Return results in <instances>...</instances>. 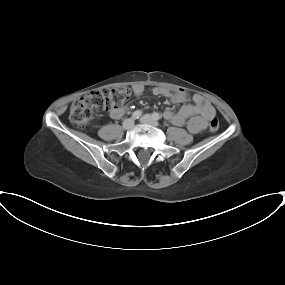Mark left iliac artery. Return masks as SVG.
Returning a JSON list of instances; mask_svg holds the SVG:
<instances>
[{"mask_svg":"<svg viewBox=\"0 0 285 285\" xmlns=\"http://www.w3.org/2000/svg\"><path fill=\"white\" fill-rule=\"evenodd\" d=\"M152 116H153V118L155 119V120H160L161 119V116L158 114V113H153L152 114Z\"/></svg>","mask_w":285,"mask_h":285,"instance_id":"left-iliac-artery-1","label":"left iliac artery"}]
</instances>
